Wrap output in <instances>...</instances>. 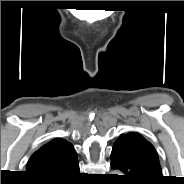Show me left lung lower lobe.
<instances>
[{
  "mask_svg": "<svg viewBox=\"0 0 184 184\" xmlns=\"http://www.w3.org/2000/svg\"><path fill=\"white\" fill-rule=\"evenodd\" d=\"M111 166L124 173L119 178L122 183L160 184L163 181L162 172L152 162L119 143L113 145Z\"/></svg>",
  "mask_w": 184,
  "mask_h": 184,
  "instance_id": "left-lung-lower-lobe-1",
  "label": "left lung lower lobe"
}]
</instances>
